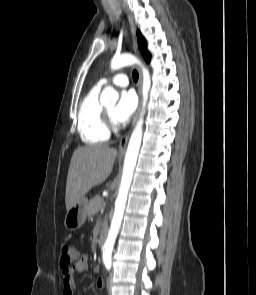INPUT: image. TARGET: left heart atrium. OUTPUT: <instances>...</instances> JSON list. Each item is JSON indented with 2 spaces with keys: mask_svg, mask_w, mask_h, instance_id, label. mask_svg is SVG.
<instances>
[{
  "mask_svg": "<svg viewBox=\"0 0 256 295\" xmlns=\"http://www.w3.org/2000/svg\"><path fill=\"white\" fill-rule=\"evenodd\" d=\"M137 106V99L132 91L122 92L115 108L113 118L117 124H126L132 117Z\"/></svg>",
  "mask_w": 256,
  "mask_h": 295,
  "instance_id": "obj_1",
  "label": "left heart atrium"
}]
</instances>
